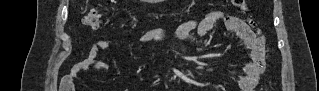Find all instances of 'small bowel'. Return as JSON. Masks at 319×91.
Listing matches in <instances>:
<instances>
[{
  "mask_svg": "<svg viewBox=\"0 0 319 91\" xmlns=\"http://www.w3.org/2000/svg\"><path fill=\"white\" fill-rule=\"evenodd\" d=\"M218 21H223L228 31L236 33L247 50V60L243 64V73L238 76L237 84L240 91H254L266 69V44L265 38L254 25L236 16L227 15L220 11L206 14L202 19H189L181 23L175 31L176 40H184L192 31L198 36L204 37L210 33ZM155 33L147 34L140 38L143 45L157 37ZM111 44L110 39L102 38L94 43L87 58L76 64L70 73V77L76 75L89 67L97 66L105 68L107 64L97 58L101 49H107ZM201 50V49H199Z\"/></svg>",
  "mask_w": 319,
  "mask_h": 91,
  "instance_id": "obj_1",
  "label": "small bowel"
}]
</instances>
